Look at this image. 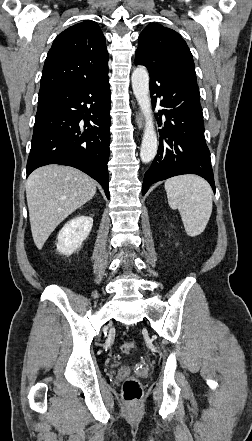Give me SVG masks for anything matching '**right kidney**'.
Wrapping results in <instances>:
<instances>
[{
    "instance_id": "obj_1",
    "label": "right kidney",
    "mask_w": 252,
    "mask_h": 441,
    "mask_svg": "<svg viewBox=\"0 0 252 441\" xmlns=\"http://www.w3.org/2000/svg\"><path fill=\"white\" fill-rule=\"evenodd\" d=\"M93 219L77 216L68 221L57 236V250L64 255H71L79 249L90 234Z\"/></svg>"
}]
</instances>
